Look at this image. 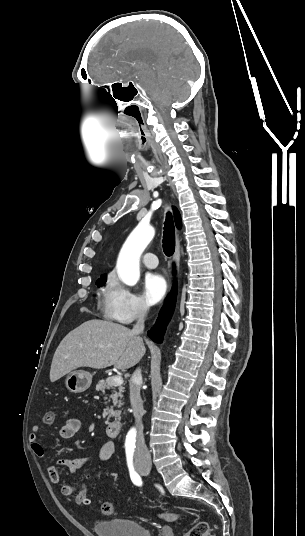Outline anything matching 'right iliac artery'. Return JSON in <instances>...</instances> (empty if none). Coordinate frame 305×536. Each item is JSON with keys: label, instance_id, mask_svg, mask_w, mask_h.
I'll return each instance as SVG.
<instances>
[{"label": "right iliac artery", "instance_id": "1", "mask_svg": "<svg viewBox=\"0 0 305 536\" xmlns=\"http://www.w3.org/2000/svg\"><path fill=\"white\" fill-rule=\"evenodd\" d=\"M127 463H128V468H129V472H130V478H131L132 482L137 486H141L142 485V480H141V477L139 476V474L134 470L132 459L127 458Z\"/></svg>", "mask_w": 305, "mask_h": 536}]
</instances>
